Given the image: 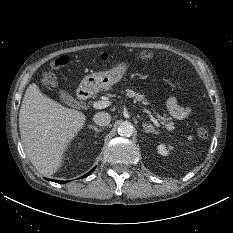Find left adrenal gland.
<instances>
[{
	"instance_id": "obj_1",
	"label": "left adrenal gland",
	"mask_w": 233,
	"mask_h": 233,
	"mask_svg": "<svg viewBox=\"0 0 233 233\" xmlns=\"http://www.w3.org/2000/svg\"><path fill=\"white\" fill-rule=\"evenodd\" d=\"M142 126L144 127V130H145L146 133H153V134H156V135L159 134V132L154 129L152 124H147V123L143 122Z\"/></svg>"
}]
</instances>
